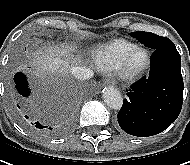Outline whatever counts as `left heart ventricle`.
Wrapping results in <instances>:
<instances>
[{"label":"left heart ventricle","instance_id":"left-heart-ventricle-1","mask_svg":"<svg viewBox=\"0 0 190 165\" xmlns=\"http://www.w3.org/2000/svg\"><path fill=\"white\" fill-rule=\"evenodd\" d=\"M145 59H146L145 54L143 52H138L132 58L131 66L133 68H138L144 64Z\"/></svg>","mask_w":190,"mask_h":165}]
</instances>
